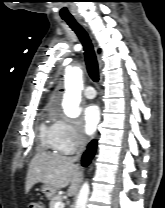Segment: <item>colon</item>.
Returning <instances> with one entry per match:
<instances>
[{
	"label": "colon",
	"instance_id": "1",
	"mask_svg": "<svg viewBox=\"0 0 165 208\" xmlns=\"http://www.w3.org/2000/svg\"><path fill=\"white\" fill-rule=\"evenodd\" d=\"M28 208H43L39 202L33 201L30 202Z\"/></svg>",
	"mask_w": 165,
	"mask_h": 208
}]
</instances>
